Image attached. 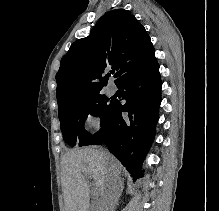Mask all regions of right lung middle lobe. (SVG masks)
Masks as SVG:
<instances>
[{
	"mask_svg": "<svg viewBox=\"0 0 219 211\" xmlns=\"http://www.w3.org/2000/svg\"><path fill=\"white\" fill-rule=\"evenodd\" d=\"M113 105L114 100L100 93L58 105V116L65 142L70 146H85L91 136L84 129L88 114L99 116L102 123L107 119Z\"/></svg>",
	"mask_w": 219,
	"mask_h": 211,
	"instance_id": "right-lung-middle-lobe-1",
	"label": "right lung middle lobe"
}]
</instances>
